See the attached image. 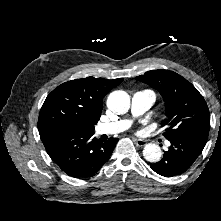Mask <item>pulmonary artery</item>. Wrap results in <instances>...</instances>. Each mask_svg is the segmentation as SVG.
<instances>
[{"label":"pulmonary artery","instance_id":"obj_1","mask_svg":"<svg viewBox=\"0 0 221 221\" xmlns=\"http://www.w3.org/2000/svg\"><path fill=\"white\" fill-rule=\"evenodd\" d=\"M155 102V94L149 90H141L133 94L131 98V112L133 116H139L146 112ZM131 124L124 119L110 123L99 124L96 128L98 134H116L125 131Z\"/></svg>","mask_w":221,"mask_h":221}]
</instances>
